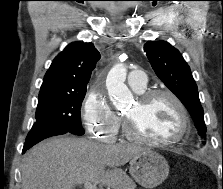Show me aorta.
Listing matches in <instances>:
<instances>
[{"label":"aorta","mask_w":223,"mask_h":189,"mask_svg":"<svg viewBox=\"0 0 223 189\" xmlns=\"http://www.w3.org/2000/svg\"><path fill=\"white\" fill-rule=\"evenodd\" d=\"M127 69L124 64H115L109 71L106 87L112 104L118 110L128 108L133 102V95L125 85Z\"/></svg>","instance_id":"762f6f07"}]
</instances>
